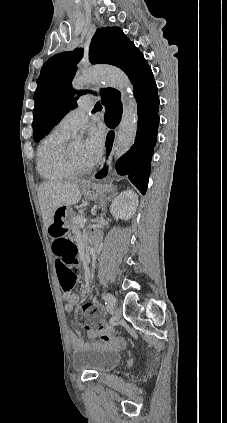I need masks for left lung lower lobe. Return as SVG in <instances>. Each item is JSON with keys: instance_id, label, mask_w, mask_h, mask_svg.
Here are the masks:
<instances>
[{"instance_id": "1", "label": "left lung lower lobe", "mask_w": 227, "mask_h": 423, "mask_svg": "<svg viewBox=\"0 0 227 423\" xmlns=\"http://www.w3.org/2000/svg\"><path fill=\"white\" fill-rule=\"evenodd\" d=\"M138 108V126L135 143L116 163L118 174L125 175L145 194L159 124V97L152 72L148 73L134 89ZM122 116V107L113 106L105 112V122L115 128Z\"/></svg>"}]
</instances>
